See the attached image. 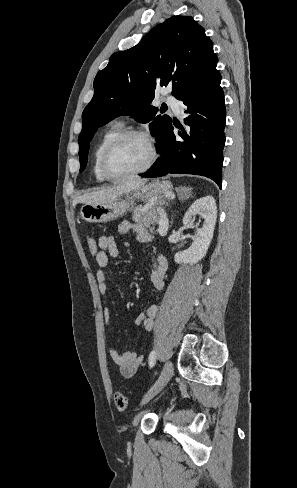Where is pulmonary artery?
I'll list each match as a JSON object with an SVG mask.
<instances>
[{"mask_svg": "<svg viewBox=\"0 0 297 488\" xmlns=\"http://www.w3.org/2000/svg\"><path fill=\"white\" fill-rule=\"evenodd\" d=\"M166 102L174 110L176 114H180L182 110V103L174 96H167Z\"/></svg>", "mask_w": 297, "mask_h": 488, "instance_id": "pulmonary-artery-1", "label": "pulmonary artery"}]
</instances>
